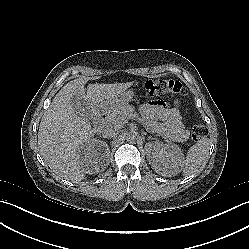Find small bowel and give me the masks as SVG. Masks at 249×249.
I'll return each mask as SVG.
<instances>
[{
	"mask_svg": "<svg viewBox=\"0 0 249 249\" xmlns=\"http://www.w3.org/2000/svg\"><path fill=\"white\" fill-rule=\"evenodd\" d=\"M144 111L146 114L152 116L153 118L157 120H162V121L168 120L170 122V120L167 119L168 118V107L162 101H153V102L146 104L144 106ZM171 130H173L174 133L180 134V132L177 129H175L173 125L171 126Z\"/></svg>",
	"mask_w": 249,
	"mask_h": 249,
	"instance_id": "small-bowel-1",
	"label": "small bowel"
}]
</instances>
